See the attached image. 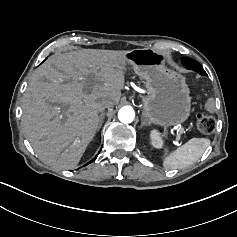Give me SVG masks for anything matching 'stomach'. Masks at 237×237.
Instances as JSON below:
<instances>
[{
	"label": "stomach",
	"instance_id": "obj_1",
	"mask_svg": "<svg viewBox=\"0 0 237 237\" xmlns=\"http://www.w3.org/2000/svg\"><path fill=\"white\" fill-rule=\"evenodd\" d=\"M166 56L153 48L133 49L125 54V65L146 81L143 114L163 126L183 123L190 114V90L185 77L165 66Z\"/></svg>",
	"mask_w": 237,
	"mask_h": 237
}]
</instances>
